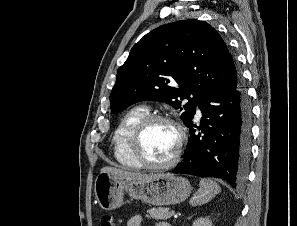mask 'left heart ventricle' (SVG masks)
Here are the masks:
<instances>
[{
	"mask_svg": "<svg viewBox=\"0 0 297 226\" xmlns=\"http://www.w3.org/2000/svg\"><path fill=\"white\" fill-rule=\"evenodd\" d=\"M178 135L174 127L165 122H155L145 131L142 152L153 163L169 160L177 146Z\"/></svg>",
	"mask_w": 297,
	"mask_h": 226,
	"instance_id": "b2bd125f",
	"label": "left heart ventricle"
}]
</instances>
